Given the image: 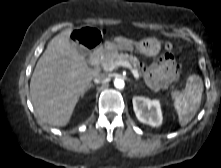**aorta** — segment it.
<instances>
[{"label":"aorta","mask_w":221,"mask_h":168,"mask_svg":"<svg viewBox=\"0 0 221 168\" xmlns=\"http://www.w3.org/2000/svg\"><path fill=\"white\" fill-rule=\"evenodd\" d=\"M114 86L117 88V89H123L124 86H125V82L123 79H115L114 81Z\"/></svg>","instance_id":"762f6f07"}]
</instances>
